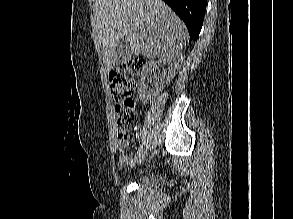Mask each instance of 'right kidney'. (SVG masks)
<instances>
[{"label": "right kidney", "instance_id": "ca27d5eb", "mask_svg": "<svg viewBox=\"0 0 293 219\" xmlns=\"http://www.w3.org/2000/svg\"><path fill=\"white\" fill-rule=\"evenodd\" d=\"M184 61V56L181 53H174L165 57H161L160 63L168 64V71H164L162 76L160 77V82L155 84L156 91H152L145 83V80L148 74L154 71L157 67V62L150 61L146 63L142 68V74L138 84V93L142 100L147 101L153 96L159 94L173 78L177 74L181 63Z\"/></svg>", "mask_w": 293, "mask_h": 219}]
</instances>
